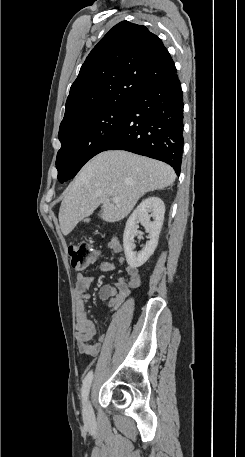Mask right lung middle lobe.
<instances>
[{"label":"right lung middle lobe","instance_id":"dd1d6c3e","mask_svg":"<svg viewBox=\"0 0 245 457\" xmlns=\"http://www.w3.org/2000/svg\"><path fill=\"white\" fill-rule=\"evenodd\" d=\"M131 100H118L76 116L60 125L58 180L72 179L81 167L111 141L125 119Z\"/></svg>","mask_w":245,"mask_h":457}]
</instances>
